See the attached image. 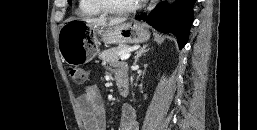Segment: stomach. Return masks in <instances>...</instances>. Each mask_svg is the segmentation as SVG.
Masks as SVG:
<instances>
[{"label":"stomach","instance_id":"0dacf381","mask_svg":"<svg viewBox=\"0 0 257 130\" xmlns=\"http://www.w3.org/2000/svg\"><path fill=\"white\" fill-rule=\"evenodd\" d=\"M99 37L105 44H138L150 38V32L137 21L111 27L90 26L81 20H67L59 30L58 49L69 65L90 62L99 52Z\"/></svg>","mask_w":257,"mask_h":130}]
</instances>
